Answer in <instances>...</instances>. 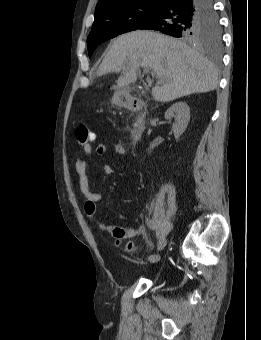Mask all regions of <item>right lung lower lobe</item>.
<instances>
[{
	"mask_svg": "<svg viewBox=\"0 0 261 340\" xmlns=\"http://www.w3.org/2000/svg\"><path fill=\"white\" fill-rule=\"evenodd\" d=\"M214 12L213 0H162L157 12L137 29H151L180 37L186 21Z\"/></svg>",
	"mask_w": 261,
	"mask_h": 340,
	"instance_id": "right-lung-lower-lobe-1",
	"label": "right lung lower lobe"
}]
</instances>
